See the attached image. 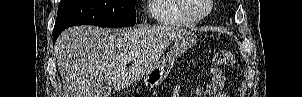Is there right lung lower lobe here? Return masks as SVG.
I'll list each match as a JSON object with an SVG mask.
<instances>
[{
    "label": "right lung lower lobe",
    "instance_id": "obj_1",
    "mask_svg": "<svg viewBox=\"0 0 302 97\" xmlns=\"http://www.w3.org/2000/svg\"><path fill=\"white\" fill-rule=\"evenodd\" d=\"M62 32V30L59 31H53V42L56 41L57 37L59 36V34Z\"/></svg>",
    "mask_w": 302,
    "mask_h": 97
}]
</instances>
